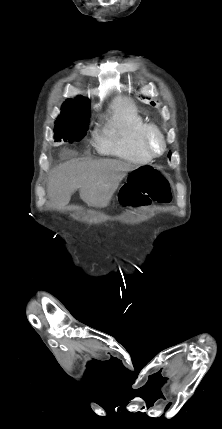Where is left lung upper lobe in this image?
I'll return each instance as SVG.
<instances>
[{"label": "left lung upper lobe", "mask_w": 222, "mask_h": 429, "mask_svg": "<svg viewBox=\"0 0 222 429\" xmlns=\"http://www.w3.org/2000/svg\"><path fill=\"white\" fill-rule=\"evenodd\" d=\"M151 104H154V105H155V103H154V102H151ZM170 155H171V152H169V153H168V157H170Z\"/></svg>", "instance_id": "obj_1"}]
</instances>
